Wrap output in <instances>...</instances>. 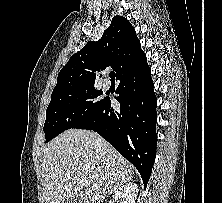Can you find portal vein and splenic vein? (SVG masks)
<instances>
[{"instance_id":"18ae733b","label":"portal vein and splenic vein","mask_w":222,"mask_h":203,"mask_svg":"<svg viewBox=\"0 0 222 203\" xmlns=\"http://www.w3.org/2000/svg\"><path fill=\"white\" fill-rule=\"evenodd\" d=\"M83 185H87V180H83Z\"/></svg>"}]
</instances>
